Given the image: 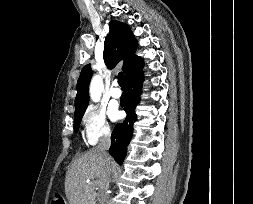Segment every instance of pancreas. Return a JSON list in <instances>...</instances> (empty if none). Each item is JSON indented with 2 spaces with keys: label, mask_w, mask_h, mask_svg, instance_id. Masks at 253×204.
<instances>
[{
  "label": "pancreas",
  "mask_w": 253,
  "mask_h": 204,
  "mask_svg": "<svg viewBox=\"0 0 253 204\" xmlns=\"http://www.w3.org/2000/svg\"><path fill=\"white\" fill-rule=\"evenodd\" d=\"M95 189V184H85L82 204H96L97 193Z\"/></svg>",
  "instance_id": "obj_1"
}]
</instances>
